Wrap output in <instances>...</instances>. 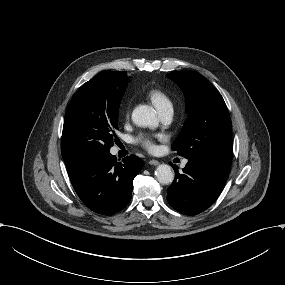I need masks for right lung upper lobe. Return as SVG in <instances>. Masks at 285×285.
I'll list each match as a JSON object with an SVG mask.
<instances>
[{
    "instance_id": "cb5924a9",
    "label": "right lung upper lobe",
    "mask_w": 285,
    "mask_h": 285,
    "mask_svg": "<svg viewBox=\"0 0 285 285\" xmlns=\"http://www.w3.org/2000/svg\"><path fill=\"white\" fill-rule=\"evenodd\" d=\"M125 71H103L96 75L93 79L81 86L87 91H100L120 85H127L129 78ZM68 174L73 173L85 161H64Z\"/></svg>"
}]
</instances>
